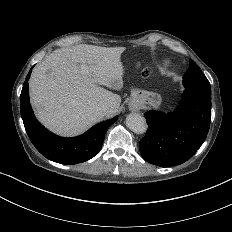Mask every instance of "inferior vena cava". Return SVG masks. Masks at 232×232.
Returning <instances> with one entry per match:
<instances>
[{
    "mask_svg": "<svg viewBox=\"0 0 232 232\" xmlns=\"http://www.w3.org/2000/svg\"><path fill=\"white\" fill-rule=\"evenodd\" d=\"M101 111L103 114H106L108 112H112V110L110 109V107L108 105H104L102 108H101Z\"/></svg>",
    "mask_w": 232,
    "mask_h": 232,
    "instance_id": "602c4592",
    "label": "inferior vena cava"
}]
</instances>
